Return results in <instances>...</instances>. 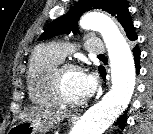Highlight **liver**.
<instances>
[{
    "instance_id": "obj_1",
    "label": "liver",
    "mask_w": 153,
    "mask_h": 134,
    "mask_svg": "<svg viewBox=\"0 0 153 134\" xmlns=\"http://www.w3.org/2000/svg\"><path fill=\"white\" fill-rule=\"evenodd\" d=\"M68 114L62 110L30 108L25 109L19 116L22 121L36 120L42 126L48 129L53 128L55 124L66 118Z\"/></svg>"
}]
</instances>
